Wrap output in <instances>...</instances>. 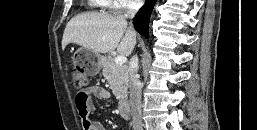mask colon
<instances>
[{
    "label": "colon",
    "instance_id": "colon-1",
    "mask_svg": "<svg viewBox=\"0 0 257 130\" xmlns=\"http://www.w3.org/2000/svg\"><path fill=\"white\" fill-rule=\"evenodd\" d=\"M73 84L76 88H81V87L86 86L87 78H86L85 74L79 70H74Z\"/></svg>",
    "mask_w": 257,
    "mask_h": 130
}]
</instances>
